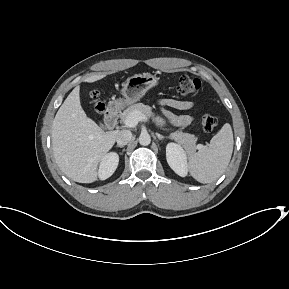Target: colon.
<instances>
[{"label":"colon","instance_id":"5ec220e1","mask_svg":"<svg viewBox=\"0 0 289 289\" xmlns=\"http://www.w3.org/2000/svg\"><path fill=\"white\" fill-rule=\"evenodd\" d=\"M174 90L180 95H188L204 90V86L199 79L186 73L179 77ZM91 97L95 103L96 111L102 112L104 110V104L99 100V94L93 92ZM217 124L218 120L213 115L206 114L202 117L201 125L205 132H211Z\"/></svg>","mask_w":289,"mask_h":289}]
</instances>
